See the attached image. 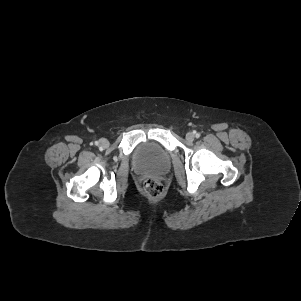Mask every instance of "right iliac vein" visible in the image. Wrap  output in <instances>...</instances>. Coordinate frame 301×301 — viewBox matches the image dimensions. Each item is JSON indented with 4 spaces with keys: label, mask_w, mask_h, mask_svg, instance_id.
Listing matches in <instances>:
<instances>
[{
    "label": "right iliac vein",
    "mask_w": 301,
    "mask_h": 301,
    "mask_svg": "<svg viewBox=\"0 0 301 301\" xmlns=\"http://www.w3.org/2000/svg\"><path fill=\"white\" fill-rule=\"evenodd\" d=\"M99 146H100L101 148H104V149L107 148V147L109 146L108 140L105 139V138L100 139V140H99Z\"/></svg>",
    "instance_id": "obj_1"
}]
</instances>
